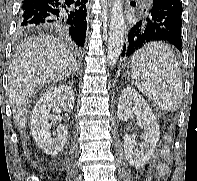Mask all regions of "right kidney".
I'll return each mask as SVG.
<instances>
[{
  "label": "right kidney",
  "mask_w": 197,
  "mask_h": 181,
  "mask_svg": "<svg viewBox=\"0 0 197 181\" xmlns=\"http://www.w3.org/2000/svg\"><path fill=\"white\" fill-rule=\"evenodd\" d=\"M74 107V92L67 85H59L47 90L36 103L31 116L32 136L38 146L48 155L58 154L64 147L68 129L65 126H58L51 134L49 120L57 118L53 112H70Z\"/></svg>",
  "instance_id": "obj_1"
}]
</instances>
